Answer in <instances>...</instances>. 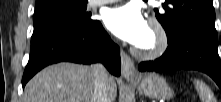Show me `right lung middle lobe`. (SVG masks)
Masks as SVG:
<instances>
[{
	"label": "right lung middle lobe",
	"mask_w": 221,
	"mask_h": 102,
	"mask_svg": "<svg viewBox=\"0 0 221 102\" xmlns=\"http://www.w3.org/2000/svg\"><path fill=\"white\" fill-rule=\"evenodd\" d=\"M86 8L87 0H47L36 6L31 47L60 30L91 25L95 20Z\"/></svg>",
	"instance_id": "right-lung-middle-lobe-1"
}]
</instances>
